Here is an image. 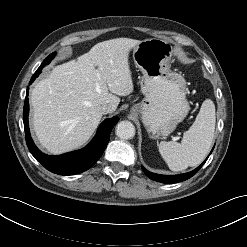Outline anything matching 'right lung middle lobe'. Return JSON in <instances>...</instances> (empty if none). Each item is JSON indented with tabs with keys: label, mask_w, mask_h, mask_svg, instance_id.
Wrapping results in <instances>:
<instances>
[{
	"label": "right lung middle lobe",
	"mask_w": 247,
	"mask_h": 247,
	"mask_svg": "<svg viewBox=\"0 0 247 247\" xmlns=\"http://www.w3.org/2000/svg\"><path fill=\"white\" fill-rule=\"evenodd\" d=\"M56 52L50 54L42 63V65L37 69V71L34 73V75H39L41 73L42 67L48 64L53 57L55 56Z\"/></svg>",
	"instance_id": "dd1d6c3e"
}]
</instances>
